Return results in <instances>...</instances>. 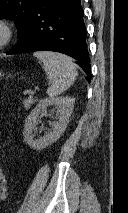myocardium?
Returning <instances> with one entry per match:
<instances>
[{
  "instance_id": "f54148a6",
  "label": "myocardium",
  "mask_w": 128,
  "mask_h": 213,
  "mask_svg": "<svg viewBox=\"0 0 128 213\" xmlns=\"http://www.w3.org/2000/svg\"><path fill=\"white\" fill-rule=\"evenodd\" d=\"M0 30L2 38L0 40V49L8 46L14 37V28L12 24L5 18H0Z\"/></svg>"
}]
</instances>
